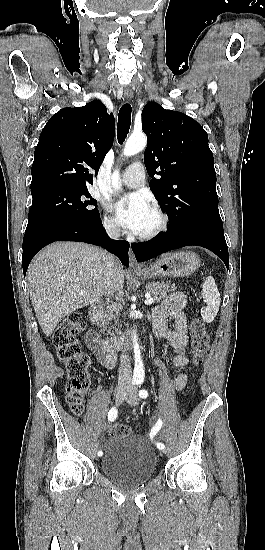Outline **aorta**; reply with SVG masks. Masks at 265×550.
Returning a JSON list of instances; mask_svg holds the SVG:
<instances>
[{
    "mask_svg": "<svg viewBox=\"0 0 265 550\" xmlns=\"http://www.w3.org/2000/svg\"><path fill=\"white\" fill-rule=\"evenodd\" d=\"M146 144H147V137L143 133L132 134L125 144L123 155L126 157L135 155L140 151H142L145 148ZM112 185L115 190H119L121 187V184L119 182L118 172H115L113 175ZM132 340H133V352H134V361H135L134 371L137 375H143L144 366H143V361L141 359V352L139 348L136 330H134L132 333Z\"/></svg>",
    "mask_w": 265,
    "mask_h": 550,
    "instance_id": "1",
    "label": "aorta"
}]
</instances>
